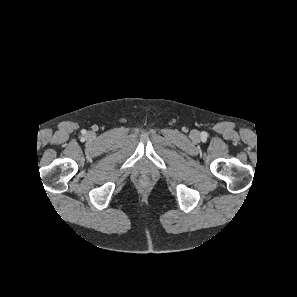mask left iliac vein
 Instances as JSON below:
<instances>
[{
	"mask_svg": "<svg viewBox=\"0 0 297 297\" xmlns=\"http://www.w3.org/2000/svg\"><path fill=\"white\" fill-rule=\"evenodd\" d=\"M192 137H193L194 139H198V138H199V133H198L197 131H193V132H192Z\"/></svg>",
	"mask_w": 297,
	"mask_h": 297,
	"instance_id": "4c4485c4",
	"label": "left iliac vein"
}]
</instances>
